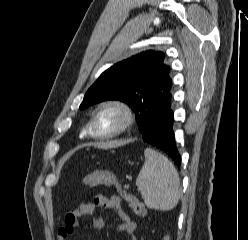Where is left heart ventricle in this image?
Instances as JSON below:
<instances>
[{"label": "left heart ventricle", "instance_id": "left-heart-ventricle-1", "mask_svg": "<svg viewBox=\"0 0 248 240\" xmlns=\"http://www.w3.org/2000/svg\"><path fill=\"white\" fill-rule=\"evenodd\" d=\"M122 120L123 117L117 110L102 109L95 118V132L99 134L112 132L121 125Z\"/></svg>", "mask_w": 248, "mask_h": 240}]
</instances>
